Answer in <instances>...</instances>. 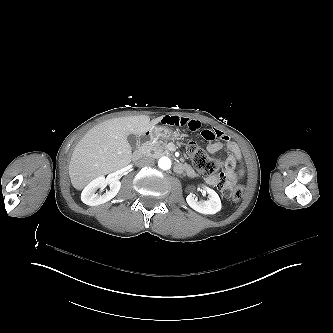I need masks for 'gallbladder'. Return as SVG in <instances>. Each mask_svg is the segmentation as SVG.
<instances>
[{
  "label": "gallbladder",
  "mask_w": 333,
  "mask_h": 333,
  "mask_svg": "<svg viewBox=\"0 0 333 333\" xmlns=\"http://www.w3.org/2000/svg\"><path fill=\"white\" fill-rule=\"evenodd\" d=\"M127 141L129 142V144L133 150H135L137 148L138 138L135 135L130 134L127 137Z\"/></svg>",
  "instance_id": "gallbladder-1"
}]
</instances>
